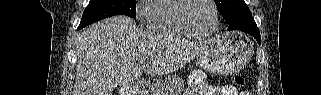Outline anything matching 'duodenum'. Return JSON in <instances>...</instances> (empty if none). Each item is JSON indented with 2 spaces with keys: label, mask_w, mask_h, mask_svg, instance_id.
Wrapping results in <instances>:
<instances>
[{
  "label": "duodenum",
  "mask_w": 321,
  "mask_h": 95,
  "mask_svg": "<svg viewBox=\"0 0 321 95\" xmlns=\"http://www.w3.org/2000/svg\"><path fill=\"white\" fill-rule=\"evenodd\" d=\"M120 95H130V92L128 90H124L120 93Z\"/></svg>",
  "instance_id": "duodenum-1"
}]
</instances>
